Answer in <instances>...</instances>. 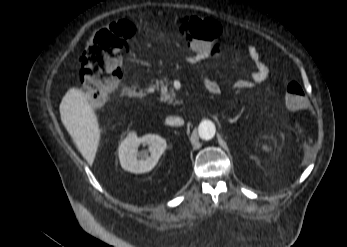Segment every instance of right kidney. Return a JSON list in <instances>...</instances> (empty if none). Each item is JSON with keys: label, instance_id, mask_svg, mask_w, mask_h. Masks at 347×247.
<instances>
[{"label": "right kidney", "instance_id": "ca27d5eb", "mask_svg": "<svg viewBox=\"0 0 347 247\" xmlns=\"http://www.w3.org/2000/svg\"><path fill=\"white\" fill-rule=\"evenodd\" d=\"M141 143L149 145L150 156L145 151H138ZM166 141L159 135L146 134L138 138L134 132L130 133L120 144L118 149L121 167L131 173L140 174L151 171L158 163L166 149Z\"/></svg>", "mask_w": 347, "mask_h": 247}]
</instances>
